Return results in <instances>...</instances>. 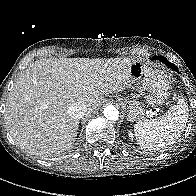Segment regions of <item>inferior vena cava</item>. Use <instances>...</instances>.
<instances>
[{"label":"inferior vena cava","mask_w":196,"mask_h":196,"mask_svg":"<svg viewBox=\"0 0 196 196\" xmlns=\"http://www.w3.org/2000/svg\"><path fill=\"white\" fill-rule=\"evenodd\" d=\"M88 111V108L85 104L74 103L69 106L68 114L73 119L79 120L81 119L85 113Z\"/></svg>","instance_id":"inferior-vena-cava-1"}]
</instances>
